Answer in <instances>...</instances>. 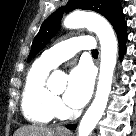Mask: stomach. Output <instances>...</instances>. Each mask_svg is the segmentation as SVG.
<instances>
[{
  "instance_id": "obj_1",
  "label": "stomach",
  "mask_w": 136,
  "mask_h": 136,
  "mask_svg": "<svg viewBox=\"0 0 136 136\" xmlns=\"http://www.w3.org/2000/svg\"><path fill=\"white\" fill-rule=\"evenodd\" d=\"M56 136H69L67 133H61V132H58L56 134Z\"/></svg>"
}]
</instances>
